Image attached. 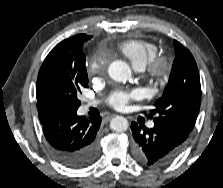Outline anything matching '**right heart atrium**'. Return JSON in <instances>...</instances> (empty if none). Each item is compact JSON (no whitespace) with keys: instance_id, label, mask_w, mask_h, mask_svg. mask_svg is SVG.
I'll return each instance as SVG.
<instances>
[{"instance_id":"obj_1","label":"right heart atrium","mask_w":223,"mask_h":188,"mask_svg":"<svg viewBox=\"0 0 223 188\" xmlns=\"http://www.w3.org/2000/svg\"><path fill=\"white\" fill-rule=\"evenodd\" d=\"M104 67V61L100 55L95 54L89 62V71L95 73Z\"/></svg>"}]
</instances>
